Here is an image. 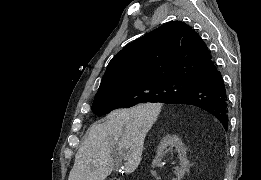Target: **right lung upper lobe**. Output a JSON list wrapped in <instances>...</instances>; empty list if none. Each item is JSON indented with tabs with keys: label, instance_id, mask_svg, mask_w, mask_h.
<instances>
[{
	"label": "right lung upper lobe",
	"instance_id": "right-lung-upper-lobe-1",
	"mask_svg": "<svg viewBox=\"0 0 261 180\" xmlns=\"http://www.w3.org/2000/svg\"><path fill=\"white\" fill-rule=\"evenodd\" d=\"M216 68L200 36L180 21L166 23L126 45L107 66L95 97L162 80L195 82Z\"/></svg>",
	"mask_w": 261,
	"mask_h": 180
}]
</instances>
